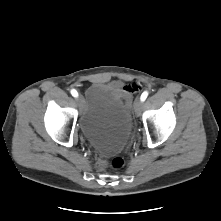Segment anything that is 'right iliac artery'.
Masks as SVG:
<instances>
[{
	"mask_svg": "<svg viewBox=\"0 0 221 221\" xmlns=\"http://www.w3.org/2000/svg\"><path fill=\"white\" fill-rule=\"evenodd\" d=\"M71 94H72V96H74V97H77V96H78V92H77L75 89H72V90H71Z\"/></svg>",
	"mask_w": 221,
	"mask_h": 221,
	"instance_id": "1",
	"label": "right iliac artery"
}]
</instances>
